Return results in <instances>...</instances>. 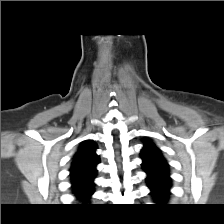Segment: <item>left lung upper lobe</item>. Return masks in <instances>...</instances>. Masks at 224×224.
Segmentation results:
<instances>
[{
  "label": "left lung upper lobe",
  "mask_w": 224,
  "mask_h": 224,
  "mask_svg": "<svg viewBox=\"0 0 224 224\" xmlns=\"http://www.w3.org/2000/svg\"><path fill=\"white\" fill-rule=\"evenodd\" d=\"M142 166L145 171L168 172V163L160 150L150 141L141 149Z\"/></svg>",
  "instance_id": "obj_1"
}]
</instances>
